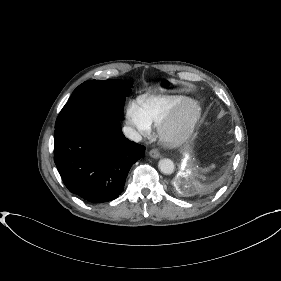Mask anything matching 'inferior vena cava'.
<instances>
[{"label": "inferior vena cava", "instance_id": "1", "mask_svg": "<svg viewBox=\"0 0 281 281\" xmlns=\"http://www.w3.org/2000/svg\"><path fill=\"white\" fill-rule=\"evenodd\" d=\"M122 131L127 138H129L130 140H132L134 142H139L142 139L140 134L131 127L125 126V127H123Z\"/></svg>", "mask_w": 281, "mask_h": 281}]
</instances>
